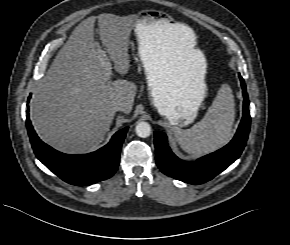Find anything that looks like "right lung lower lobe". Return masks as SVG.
Here are the masks:
<instances>
[{
    "mask_svg": "<svg viewBox=\"0 0 290 245\" xmlns=\"http://www.w3.org/2000/svg\"><path fill=\"white\" fill-rule=\"evenodd\" d=\"M26 126L36 157L62 180L77 186L106 180L116 172L120 149L128 129L119 130L107 145L95 152L75 155L61 153L42 142L28 116Z\"/></svg>",
    "mask_w": 290,
    "mask_h": 245,
    "instance_id": "obj_1",
    "label": "right lung lower lobe"
}]
</instances>
